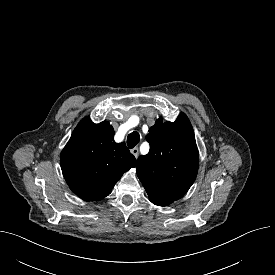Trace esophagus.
<instances>
[{
  "label": "esophagus",
  "instance_id": "esophagus-1",
  "mask_svg": "<svg viewBox=\"0 0 275 275\" xmlns=\"http://www.w3.org/2000/svg\"><path fill=\"white\" fill-rule=\"evenodd\" d=\"M131 153L138 158L139 156V148L138 147H134L133 149H131Z\"/></svg>",
  "mask_w": 275,
  "mask_h": 275
}]
</instances>
